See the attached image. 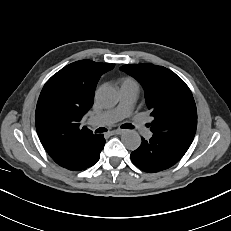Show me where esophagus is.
Segmentation results:
<instances>
[{
	"label": "esophagus",
	"mask_w": 231,
	"mask_h": 231,
	"mask_svg": "<svg viewBox=\"0 0 231 231\" xmlns=\"http://www.w3.org/2000/svg\"><path fill=\"white\" fill-rule=\"evenodd\" d=\"M109 133H110V135L122 134V133H124V130H122V129H116V130L110 131Z\"/></svg>",
	"instance_id": "esophagus-1"
}]
</instances>
